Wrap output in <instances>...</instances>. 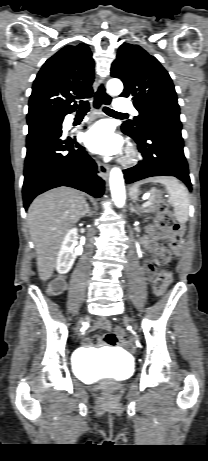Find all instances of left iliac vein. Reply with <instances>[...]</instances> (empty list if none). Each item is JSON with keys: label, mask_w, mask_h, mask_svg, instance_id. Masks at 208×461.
<instances>
[{"label": "left iliac vein", "mask_w": 208, "mask_h": 461, "mask_svg": "<svg viewBox=\"0 0 208 461\" xmlns=\"http://www.w3.org/2000/svg\"><path fill=\"white\" fill-rule=\"evenodd\" d=\"M124 320H125V321H128V322H132V320H131L128 316H125V317H124Z\"/></svg>", "instance_id": "left-iliac-vein-1"}]
</instances>
